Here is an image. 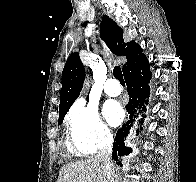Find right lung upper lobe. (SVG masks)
I'll list each match as a JSON object with an SVG mask.
<instances>
[{"label":"right lung upper lobe","mask_w":196,"mask_h":182,"mask_svg":"<svg viewBox=\"0 0 196 182\" xmlns=\"http://www.w3.org/2000/svg\"><path fill=\"white\" fill-rule=\"evenodd\" d=\"M100 36L105 40L112 53L127 58V62L123 65V73L145 56L140 46L134 41L124 42L123 30L106 15L102 18ZM84 78L85 68L80 60L79 53H72L67 59L62 72L59 117L67 113L79 96Z\"/></svg>","instance_id":"1"}]
</instances>
